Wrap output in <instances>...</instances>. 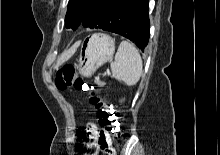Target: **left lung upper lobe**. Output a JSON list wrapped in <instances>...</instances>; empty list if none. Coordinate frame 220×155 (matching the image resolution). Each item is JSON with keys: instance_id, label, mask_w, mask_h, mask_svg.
Masks as SVG:
<instances>
[{"instance_id": "5c2ea615", "label": "left lung upper lobe", "mask_w": 220, "mask_h": 155, "mask_svg": "<svg viewBox=\"0 0 220 155\" xmlns=\"http://www.w3.org/2000/svg\"><path fill=\"white\" fill-rule=\"evenodd\" d=\"M96 2L97 0H69L65 17L66 28L75 30L80 25L85 14Z\"/></svg>"}]
</instances>
